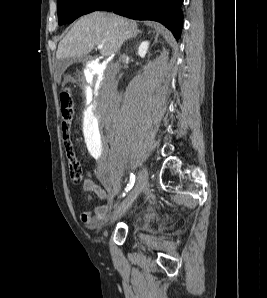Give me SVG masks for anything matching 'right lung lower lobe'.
I'll return each instance as SVG.
<instances>
[{
  "label": "right lung lower lobe",
  "mask_w": 267,
  "mask_h": 298,
  "mask_svg": "<svg viewBox=\"0 0 267 298\" xmlns=\"http://www.w3.org/2000/svg\"><path fill=\"white\" fill-rule=\"evenodd\" d=\"M183 0H104L96 10L113 11L137 20H154L165 25L176 39L183 25Z\"/></svg>",
  "instance_id": "98d812e1"
}]
</instances>
